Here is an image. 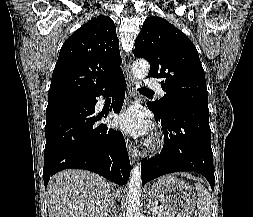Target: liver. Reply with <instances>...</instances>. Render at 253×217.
Here are the masks:
<instances>
[{
  "instance_id": "6515ba94",
  "label": "liver",
  "mask_w": 253,
  "mask_h": 217,
  "mask_svg": "<svg viewBox=\"0 0 253 217\" xmlns=\"http://www.w3.org/2000/svg\"><path fill=\"white\" fill-rule=\"evenodd\" d=\"M114 189L111 182L90 171L58 172L47 188L49 217H109Z\"/></svg>"
}]
</instances>
